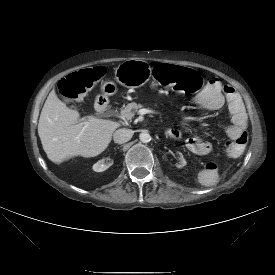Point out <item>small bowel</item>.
Listing matches in <instances>:
<instances>
[{
  "label": "small bowel",
  "mask_w": 275,
  "mask_h": 275,
  "mask_svg": "<svg viewBox=\"0 0 275 275\" xmlns=\"http://www.w3.org/2000/svg\"><path fill=\"white\" fill-rule=\"evenodd\" d=\"M227 102L231 118L226 128V134L231 139H237L245 133L248 125L247 116L240 96L234 88L223 86L216 78L211 79L203 91L194 99V104L208 111H216ZM168 134L179 138L178 130H170ZM186 150L191 155L207 156L209 158L200 165L197 173V185L202 190L213 188L221 177L220 166L227 161V154L222 149L212 150V144L206 137L192 136L186 143Z\"/></svg>",
  "instance_id": "1"
}]
</instances>
